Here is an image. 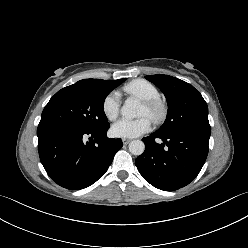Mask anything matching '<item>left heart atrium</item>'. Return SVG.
I'll list each match as a JSON object with an SVG mask.
<instances>
[{
	"label": "left heart atrium",
	"instance_id": "left-heart-atrium-1",
	"mask_svg": "<svg viewBox=\"0 0 248 248\" xmlns=\"http://www.w3.org/2000/svg\"><path fill=\"white\" fill-rule=\"evenodd\" d=\"M150 130L151 121L146 116L137 119L121 118L111 127L112 134L120 138L138 137Z\"/></svg>",
	"mask_w": 248,
	"mask_h": 248
}]
</instances>
